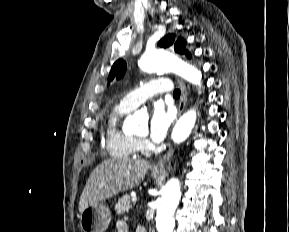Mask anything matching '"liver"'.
<instances>
[{"label":"liver","mask_w":289,"mask_h":232,"mask_svg":"<svg viewBox=\"0 0 289 232\" xmlns=\"http://www.w3.org/2000/svg\"><path fill=\"white\" fill-rule=\"evenodd\" d=\"M149 168L150 164L145 160L112 158L103 161L86 182L79 201V211L137 187Z\"/></svg>","instance_id":"1"}]
</instances>
